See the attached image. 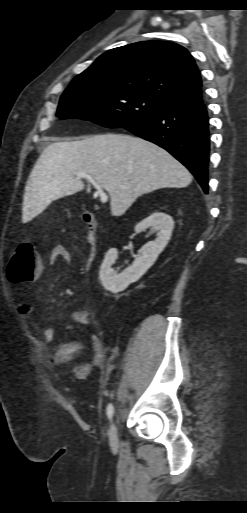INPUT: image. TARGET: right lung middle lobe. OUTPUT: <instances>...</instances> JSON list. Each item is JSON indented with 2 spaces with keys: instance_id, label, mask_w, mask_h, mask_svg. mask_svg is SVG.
I'll list each match as a JSON object with an SVG mask.
<instances>
[{
  "instance_id": "obj_1",
  "label": "right lung middle lobe",
  "mask_w": 247,
  "mask_h": 513,
  "mask_svg": "<svg viewBox=\"0 0 247 513\" xmlns=\"http://www.w3.org/2000/svg\"><path fill=\"white\" fill-rule=\"evenodd\" d=\"M169 105L124 88L71 82L62 94L57 116L91 120L108 128H124L148 118Z\"/></svg>"
}]
</instances>
